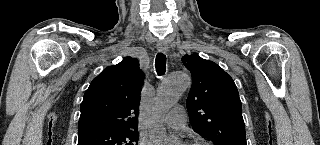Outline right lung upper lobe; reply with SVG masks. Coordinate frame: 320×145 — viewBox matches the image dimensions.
Listing matches in <instances>:
<instances>
[{
  "mask_svg": "<svg viewBox=\"0 0 320 145\" xmlns=\"http://www.w3.org/2000/svg\"><path fill=\"white\" fill-rule=\"evenodd\" d=\"M143 81L139 62L131 57L104 69L81 103L79 136L101 130H137Z\"/></svg>",
  "mask_w": 320,
  "mask_h": 145,
  "instance_id": "right-lung-upper-lobe-1",
  "label": "right lung upper lobe"
}]
</instances>
